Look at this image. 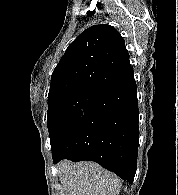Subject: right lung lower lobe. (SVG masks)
<instances>
[{"instance_id":"1","label":"right lung lower lobe","mask_w":178,"mask_h":195,"mask_svg":"<svg viewBox=\"0 0 178 195\" xmlns=\"http://www.w3.org/2000/svg\"><path fill=\"white\" fill-rule=\"evenodd\" d=\"M139 110L134 76L97 93L77 125L63 138L52 157L94 161L133 182L139 146Z\"/></svg>"}]
</instances>
